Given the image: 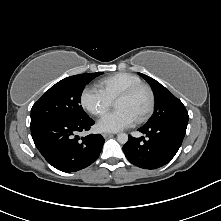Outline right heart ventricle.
I'll list each match as a JSON object with an SVG mask.
<instances>
[{
  "label": "right heart ventricle",
  "mask_w": 221,
  "mask_h": 221,
  "mask_svg": "<svg viewBox=\"0 0 221 221\" xmlns=\"http://www.w3.org/2000/svg\"><path fill=\"white\" fill-rule=\"evenodd\" d=\"M139 83H142V80L137 75L120 72L103 78L98 86L111 101H114L121 92Z\"/></svg>",
  "instance_id": "1"
}]
</instances>
